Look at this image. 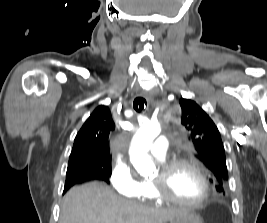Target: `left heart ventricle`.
<instances>
[{"label": "left heart ventricle", "instance_id": "obj_1", "mask_svg": "<svg viewBox=\"0 0 267 223\" xmlns=\"http://www.w3.org/2000/svg\"><path fill=\"white\" fill-rule=\"evenodd\" d=\"M167 189L174 197L187 201L200 199L205 191L203 181L199 174L188 166L177 168L168 177Z\"/></svg>", "mask_w": 267, "mask_h": 223}]
</instances>
